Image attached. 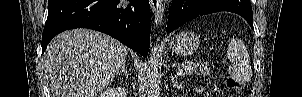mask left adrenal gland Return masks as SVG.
Returning a JSON list of instances; mask_svg holds the SVG:
<instances>
[{
  "label": "left adrenal gland",
  "instance_id": "obj_1",
  "mask_svg": "<svg viewBox=\"0 0 302 97\" xmlns=\"http://www.w3.org/2000/svg\"><path fill=\"white\" fill-rule=\"evenodd\" d=\"M171 83H172L173 87H177L178 89L181 87V84H179L177 82V80L174 79L173 76H171Z\"/></svg>",
  "mask_w": 302,
  "mask_h": 97
}]
</instances>
